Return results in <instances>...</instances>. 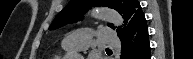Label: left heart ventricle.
<instances>
[{
  "label": "left heart ventricle",
  "mask_w": 193,
  "mask_h": 59,
  "mask_svg": "<svg viewBox=\"0 0 193 59\" xmlns=\"http://www.w3.org/2000/svg\"><path fill=\"white\" fill-rule=\"evenodd\" d=\"M74 52H78V53H80V54H82V53H83V51H82V50H75Z\"/></svg>",
  "instance_id": "obj_1"
}]
</instances>
